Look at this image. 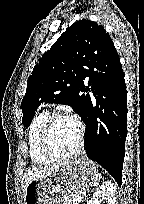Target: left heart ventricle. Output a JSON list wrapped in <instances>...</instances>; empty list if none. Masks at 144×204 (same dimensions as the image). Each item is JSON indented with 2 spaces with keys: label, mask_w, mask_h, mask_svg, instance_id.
<instances>
[{
  "label": "left heart ventricle",
  "mask_w": 144,
  "mask_h": 204,
  "mask_svg": "<svg viewBox=\"0 0 144 204\" xmlns=\"http://www.w3.org/2000/svg\"><path fill=\"white\" fill-rule=\"evenodd\" d=\"M78 138L79 131L75 121L68 118L58 119L51 129L49 144L54 153L67 155L75 150Z\"/></svg>",
  "instance_id": "left-heart-ventricle-1"
}]
</instances>
